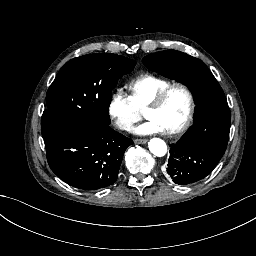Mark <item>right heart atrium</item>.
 Masks as SVG:
<instances>
[{"mask_svg":"<svg viewBox=\"0 0 256 256\" xmlns=\"http://www.w3.org/2000/svg\"><path fill=\"white\" fill-rule=\"evenodd\" d=\"M131 117L133 121L138 122L142 119L143 116L140 111L135 110Z\"/></svg>","mask_w":256,"mask_h":256,"instance_id":"obj_1","label":"right heart atrium"}]
</instances>
